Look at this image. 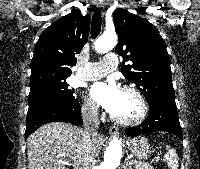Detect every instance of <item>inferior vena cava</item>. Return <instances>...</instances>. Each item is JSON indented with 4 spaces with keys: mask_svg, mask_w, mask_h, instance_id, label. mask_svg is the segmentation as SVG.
I'll use <instances>...</instances> for the list:
<instances>
[{
    "mask_svg": "<svg viewBox=\"0 0 200 169\" xmlns=\"http://www.w3.org/2000/svg\"><path fill=\"white\" fill-rule=\"evenodd\" d=\"M82 116L84 121V126L81 131L82 141L84 145V156L82 158V165L80 169H93L96 163L95 158L92 155L93 142L92 138L97 136V129L99 127V117H98V106L95 104H90L83 108Z\"/></svg>",
    "mask_w": 200,
    "mask_h": 169,
    "instance_id": "1",
    "label": "inferior vena cava"
}]
</instances>
